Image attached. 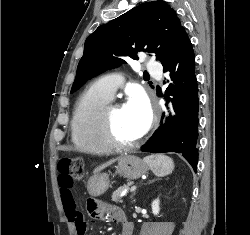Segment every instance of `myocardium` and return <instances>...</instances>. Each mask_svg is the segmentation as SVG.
<instances>
[{"label": "myocardium", "mask_w": 250, "mask_h": 235, "mask_svg": "<svg viewBox=\"0 0 250 235\" xmlns=\"http://www.w3.org/2000/svg\"><path fill=\"white\" fill-rule=\"evenodd\" d=\"M124 107L123 104H107L102 111V134L107 144L113 150L127 151L138 147L143 142V137L138 138L133 142L120 141L114 130V112L117 109Z\"/></svg>", "instance_id": "1"}]
</instances>
